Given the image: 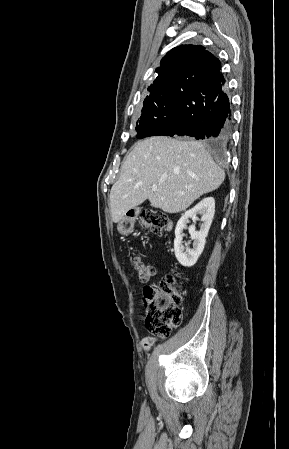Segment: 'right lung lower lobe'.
<instances>
[{"label":"right lung lower lobe","instance_id":"right-lung-lower-lobe-1","mask_svg":"<svg viewBox=\"0 0 289 449\" xmlns=\"http://www.w3.org/2000/svg\"><path fill=\"white\" fill-rule=\"evenodd\" d=\"M177 115L152 136H191L225 142L230 134L231 105L228 88L219 70L210 80L178 81L173 87Z\"/></svg>","mask_w":289,"mask_h":449}]
</instances>
